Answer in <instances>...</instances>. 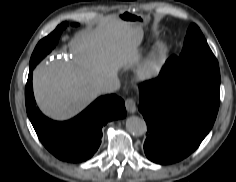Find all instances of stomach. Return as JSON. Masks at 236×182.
I'll return each instance as SVG.
<instances>
[{
  "mask_svg": "<svg viewBox=\"0 0 236 182\" xmlns=\"http://www.w3.org/2000/svg\"><path fill=\"white\" fill-rule=\"evenodd\" d=\"M119 19L128 23L132 27H140L141 29H143V27L147 26L149 23V18L143 15L131 13L129 11L122 13L119 16Z\"/></svg>",
  "mask_w": 236,
  "mask_h": 182,
  "instance_id": "1",
  "label": "stomach"
}]
</instances>
